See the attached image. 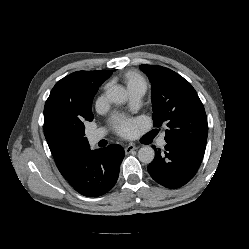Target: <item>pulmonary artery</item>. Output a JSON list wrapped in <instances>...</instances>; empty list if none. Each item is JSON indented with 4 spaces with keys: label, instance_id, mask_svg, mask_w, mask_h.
<instances>
[{
    "label": "pulmonary artery",
    "instance_id": "e3ab8cb5",
    "mask_svg": "<svg viewBox=\"0 0 249 249\" xmlns=\"http://www.w3.org/2000/svg\"><path fill=\"white\" fill-rule=\"evenodd\" d=\"M144 92L142 91H132L130 92V97H131V103L133 106H138L140 99L142 98ZM106 135V131L105 129H97L94 130L92 132H90L87 135V139L89 141L90 144H96L97 142H99L101 139H103ZM167 144L166 140H165V135L162 134L159 139H158V145L160 147H165Z\"/></svg>",
    "mask_w": 249,
    "mask_h": 249
}]
</instances>
